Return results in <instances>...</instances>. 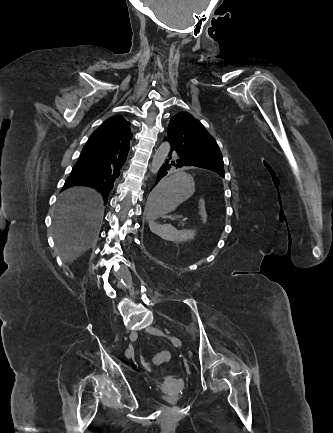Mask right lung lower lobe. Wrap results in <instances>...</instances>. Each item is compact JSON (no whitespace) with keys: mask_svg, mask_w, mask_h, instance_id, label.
Returning a JSON list of instances; mask_svg holds the SVG:
<instances>
[{"mask_svg":"<svg viewBox=\"0 0 333 433\" xmlns=\"http://www.w3.org/2000/svg\"><path fill=\"white\" fill-rule=\"evenodd\" d=\"M95 143L94 138L88 140L63 189L74 185L95 188L103 193L106 204L108 194L117 181L122 166L126 161L130 145L118 149L107 148L101 150L95 146Z\"/></svg>","mask_w":333,"mask_h":433,"instance_id":"98d812e1","label":"right lung lower lobe"}]
</instances>
